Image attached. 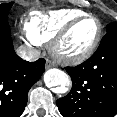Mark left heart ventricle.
<instances>
[{
    "label": "left heart ventricle",
    "instance_id": "left-heart-ventricle-1",
    "mask_svg": "<svg viewBox=\"0 0 117 117\" xmlns=\"http://www.w3.org/2000/svg\"><path fill=\"white\" fill-rule=\"evenodd\" d=\"M97 32V23L92 19L80 23L64 42L63 48L71 54L81 53L86 50Z\"/></svg>",
    "mask_w": 117,
    "mask_h": 117
}]
</instances>
